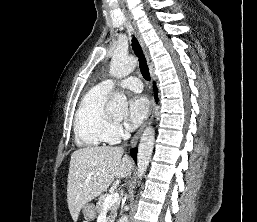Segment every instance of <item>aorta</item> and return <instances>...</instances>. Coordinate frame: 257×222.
Instances as JSON below:
<instances>
[{"label": "aorta", "instance_id": "obj_1", "mask_svg": "<svg viewBox=\"0 0 257 222\" xmlns=\"http://www.w3.org/2000/svg\"><path fill=\"white\" fill-rule=\"evenodd\" d=\"M136 66V60L133 56L116 51L111 59L110 74L116 78H123L129 75ZM127 98L123 93H114L108 102L106 110L112 114H124L127 112ZM155 140V131L152 127L144 130L137 153V171L138 177L142 178L149 165ZM118 222H128V216H122Z\"/></svg>", "mask_w": 257, "mask_h": 222}]
</instances>
